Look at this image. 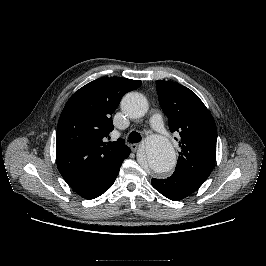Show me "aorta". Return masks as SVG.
I'll use <instances>...</instances> for the list:
<instances>
[{
  "label": "aorta",
  "instance_id": "aorta-1",
  "mask_svg": "<svg viewBox=\"0 0 266 266\" xmlns=\"http://www.w3.org/2000/svg\"><path fill=\"white\" fill-rule=\"evenodd\" d=\"M122 111L131 118H140L148 110V102L144 95L131 92L121 102ZM139 163L155 174H166L176 165V154L170 141L160 135L148 138L145 148L139 154Z\"/></svg>",
  "mask_w": 266,
  "mask_h": 266
}]
</instances>
